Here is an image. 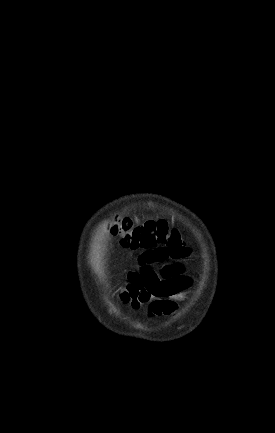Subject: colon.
Listing matches in <instances>:
<instances>
[{
  "label": "colon",
  "instance_id": "1",
  "mask_svg": "<svg viewBox=\"0 0 275 433\" xmlns=\"http://www.w3.org/2000/svg\"><path fill=\"white\" fill-rule=\"evenodd\" d=\"M111 231L120 237L121 245L127 249H149L164 245L167 257L179 258L187 254L178 231L161 220L135 224L127 217L116 216L112 220Z\"/></svg>",
  "mask_w": 275,
  "mask_h": 433
}]
</instances>
